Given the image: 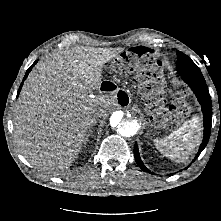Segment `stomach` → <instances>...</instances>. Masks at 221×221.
<instances>
[{
    "mask_svg": "<svg viewBox=\"0 0 221 221\" xmlns=\"http://www.w3.org/2000/svg\"><path fill=\"white\" fill-rule=\"evenodd\" d=\"M165 84L163 68L159 64H155L153 73L147 74L144 82L139 84L140 94L146 102L145 111L151 116L155 128L164 127L172 119V104L166 99ZM175 111L173 116L182 120L184 116L178 109Z\"/></svg>",
    "mask_w": 221,
    "mask_h": 221,
    "instance_id": "stomach-1",
    "label": "stomach"
}]
</instances>
